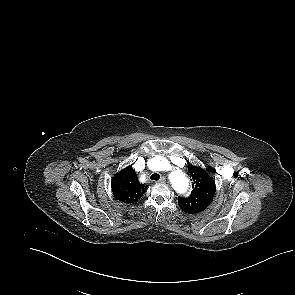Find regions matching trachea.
Listing matches in <instances>:
<instances>
[{
  "label": "trachea",
  "mask_w": 295,
  "mask_h": 295,
  "mask_svg": "<svg viewBox=\"0 0 295 295\" xmlns=\"http://www.w3.org/2000/svg\"><path fill=\"white\" fill-rule=\"evenodd\" d=\"M150 179H151V180H155V181H157V180L160 179V175L157 174V173H154V174L151 175Z\"/></svg>",
  "instance_id": "obj_1"
}]
</instances>
